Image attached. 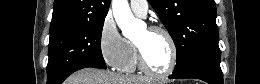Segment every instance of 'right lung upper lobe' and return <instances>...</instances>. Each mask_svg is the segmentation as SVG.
I'll return each instance as SVG.
<instances>
[{
  "instance_id": "right-lung-upper-lobe-1",
  "label": "right lung upper lobe",
  "mask_w": 260,
  "mask_h": 84,
  "mask_svg": "<svg viewBox=\"0 0 260 84\" xmlns=\"http://www.w3.org/2000/svg\"><path fill=\"white\" fill-rule=\"evenodd\" d=\"M111 0H55L50 32L87 20L105 19Z\"/></svg>"
}]
</instances>
